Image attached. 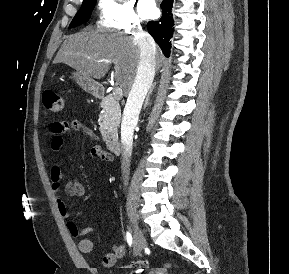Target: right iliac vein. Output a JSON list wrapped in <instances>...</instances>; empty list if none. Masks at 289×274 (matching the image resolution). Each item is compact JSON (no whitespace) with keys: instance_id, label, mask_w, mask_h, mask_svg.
Returning a JSON list of instances; mask_svg holds the SVG:
<instances>
[{"instance_id":"right-iliac-vein-1","label":"right iliac vein","mask_w":289,"mask_h":274,"mask_svg":"<svg viewBox=\"0 0 289 274\" xmlns=\"http://www.w3.org/2000/svg\"><path fill=\"white\" fill-rule=\"evenodd\" d=\"M133 232H134V255L137 256L145 247L146 239L141 228L135 221H133Z\"/></svg>"}]
</instances>
